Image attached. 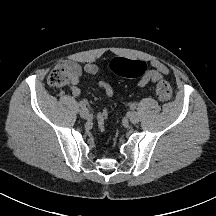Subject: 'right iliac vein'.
Segmentation results:
<instances>
[{"mask_svg":"<svg viewBox=\"0 0 216 216\" xmlns=\"http://www.w3.org/2000/svg\"><path fill=\"white\" fill-rule=\"evenodd\" d=\"M79 114H80L81 118H83V119H87L90 115L87 108H82L80 110Z\"/></svg>","mask_w":216,"mask_h":216,"instance_id":"63e3f726","label":"right iliac vein"}]
</instances>
